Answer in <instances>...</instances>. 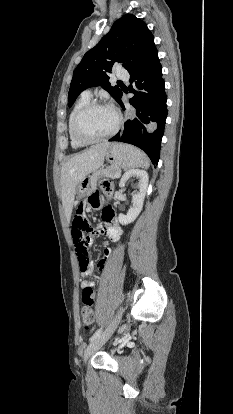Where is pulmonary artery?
I'll use <instances>...</instances> for the list:
<instances>
[{
  "instance_id": "1",
  "label": "pulmonary artery",
  "mask_w": 233,
  "mask_h": 414,
  "mask_svg": "<svg viewBox=\"0 0 233 414\" xmlns=\"http://www.w3.org/2000/svg\"><path fill=\"white\" fill-rule=\"evenodd\" d=\"M116 77L119 79H128L129 74L126 70L120 69L116 72ZM85 94L89 95V91H86Z\"/></svg>"
}]
</instances>
